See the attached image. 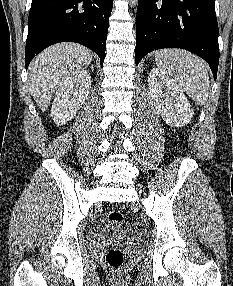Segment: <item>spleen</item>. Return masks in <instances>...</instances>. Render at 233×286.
<instances>
[{
  "instance_id": "3e777b00",
  "label": "spleen",
  "mask_w": 233,
  "mask_h": 286,
  "mask_svg": "<svg viewBox=\"0 0 233 286\" xmlns=\"http://www.w3.org/2000/svg\"><path fill=\"white\" fill-rule=\"evenodd\" d=\"M157 67L166 75L174 76L179 87L199 105L209 96L207 63L183 49H161L155 52Z\"/></svg>"
}]
</instances>
